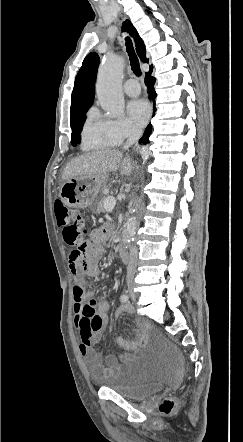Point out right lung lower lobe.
<instances>
[{
    "mask_svg": "<svg viewBox=\"0 0 243 442\" xmlns=\"http://www.w3.org/2000/svg\"><path fill=\"white\" fill-rule=\"evenodd\" d=\"M151 73H152V67H150V71L148 73H146L145 84L147 85V87L150 90V98L155 99L156 92L153 88L154 83H155V78L151 77ZM154 112H155V108H154ZM150 134H151V125H149L147 127L145 134H144V136H145L144 140L141 139L140 142L144 141L145 143H148V138H149Z\"/></svg>",
    "mask_w": 243,
    "mask_h": 442,
    "instance_id": "1",
    "label": "right lung lower lobe"
}]
</instances>
